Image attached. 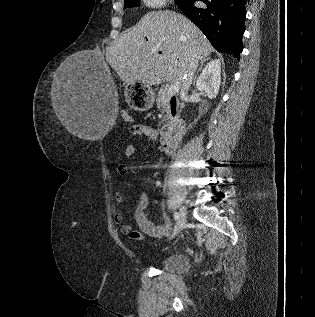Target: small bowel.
<instances>
[{
    "instance_id": "1",
    "label": "small bowel",
    "mask_w": 315,
    "mask_h": 317,
    "mask_svg": "<svg viewBox=\"0 0 315 317\" xmlns=\"http://www.w3.org/2000/svg\"><path fill=\"white\" fill-rule=\"evenodd\" d=\"M130 133L139 136L142 138H146L149 140H155L157 138V132L146 124H133L130 129ZM137 151V148L134 144H126L123 149V154L127 157L133 156ZM115 171L120 176H126L128 174V167L120 164L117 165ZM115 200L117 202L123 201V195L121 193L115 194ZM148 204V199L145 194H143L138 204L135 208L134 216L136 223L138 224L141 232L134 231L132 226L128 223L123 222V216L120 213H115L113 216V221L116 225L119 226V230L122 234L126 235L128 238L132 240H144V235H148L153 238H161L166 236L170 229L171 224L168 220L165 221L162 225L153 224L146 216V208Z\"/></svg>"
}]
</instances>
